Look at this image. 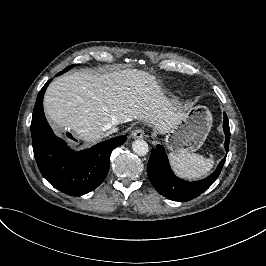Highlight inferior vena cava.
Listing matches in <instances>:
<instances>
[{"mask_svg":"<svg viewBox=\"0 0 266 266\" xmlns=\"http://www.w3.org/2000/svg\"><path fill=\"white\" fill-rule=\"evenodd\" d=\"M117 131H118V128H112V129L107 131V135H110V134L117 132Z\"/></svg>","mask_w":266,"mask_h":266,"instance_id":"1","label":"inferior vena cava"}]
</instances>
